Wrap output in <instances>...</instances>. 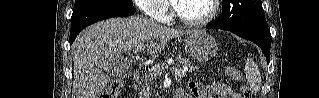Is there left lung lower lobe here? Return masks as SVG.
I'll list each match as a JSON object with an SVG mask.
<instances>
[{
  "label": "left lung lower lobe",
  "instance_id": "left-lung-lower-lobe-1",
  "mask_svg": "<svg viewBox=\"0 0 319 98\" xmlns=\"http://www.w3.org/2000/svg\"><path fill=\"white\" fill-rule=\"evenodd\" d=\"M207 28L223 29L228 30L236 35L248 39L256 43L266 56L267 62L270 61V47H271V34L268 26H257L250 28H218L212 24H207Z\"/></svg>",
  "mask_w": 319,
  "mask_h": 98
}]
</instances>
